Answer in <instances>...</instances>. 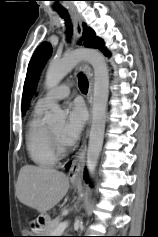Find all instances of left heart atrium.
Segmentation results:
<instances>
[{"label":"left heart atrium","mask_w":158,"mask_h":237,"mask_svg":"<svg viewBox=\"0 0 158 237\" xmlns=\"http://www.w3.org/2000/svg\"><path fill=\"white\" fill-rule=\"evenodd\" d=\"M85 121L86 116L83 105L79 102L70 104L67 121L60 134V140L63 145L71 146L79 139Z\"/></svg>","instance_id":"left-heart-atrium-1"}]
</instances>
